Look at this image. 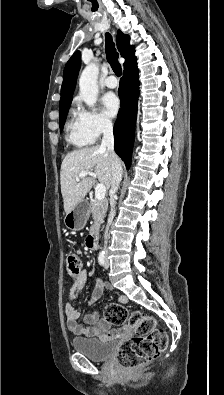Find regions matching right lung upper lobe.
Returning <instances> with one entry per match:
<instances>
[{"mask_svg": "<svg viewBox=\"0 0 224 395\" xmlns=\"http://www.w3.org/2000/svg\"><path fill=\"white\" fill-rule=\"evenodd\" d=\"M117 48L121 52L122 57L126 59L124 67L136 59L134 56V46L130 45V37L123 34L120 30L117 33ZM80 57V52H75L65 66L59 110L71 104L76 78L80 69Z\"/></svg>", "mask_w": 224, "mask_h": 395, "instance_id": "cb5924a9", "label": "right lung upper lobe"}]
</instances>
